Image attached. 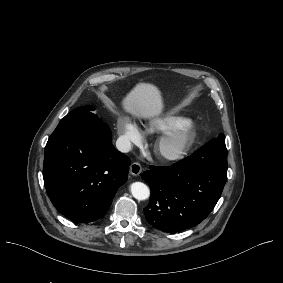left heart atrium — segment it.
I'll return each mask as SVG.
<instances>
[{"mask_svg":"<svg viewBox=\"0 0 283 283\" xmlns=\"http://www.w3.org/2000/svg\"><path fill=\"white\" fill-rule=\"evenodd\" d=\"M151 154H153L155 156H159L160 155L159 150L156 149V148L151 150Z\"/></svg>","mask_w":283,"mask_h":283,"instance_id":"left-heart-atrium-1","label":"left heart atrium"}]
</instances>
